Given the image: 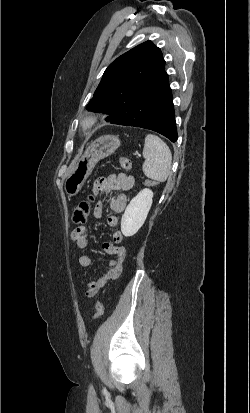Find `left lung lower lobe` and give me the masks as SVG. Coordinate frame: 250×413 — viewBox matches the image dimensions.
Wrapping results in <instances>:
<instances>
[{
  "label": "left lung lower lobe",
  "instance_id": "0a47b994",
  "mask_svg": "<svg viewBox=\"0 0 250 413\" xmlns=\"http://www.w3.org/2000/svg\"><path fill=\"white\" fill-rule=\"evenodd\" d=\"M105 120L113 124L150 129L175 142L177 129L167 74L145 85L139 84L132 97Z\"/></svg>",
  "mask_w": 250,
  "mask_h": 413
}]
</instances>
